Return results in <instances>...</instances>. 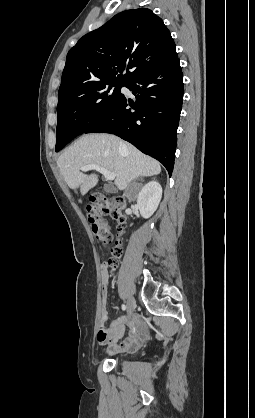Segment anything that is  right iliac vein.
<instances>
[{
  "label": "right iliac vein",
  "instance_id": "right-iliac-vein-1",
  "mask_svg": "<svg viewBox=\"0 0 255 418\" xmlns=\"http://www.w3.org/2000/svg\"><path fill=\"white\" fill-rule=\"evenodd\" d=\"M136 307L135 300L133 298H129L127 301V313L128 316L132 315Z\"/></svg>",
  "mask_w": 255,
  "mask_h": 418
}]
</instances>
